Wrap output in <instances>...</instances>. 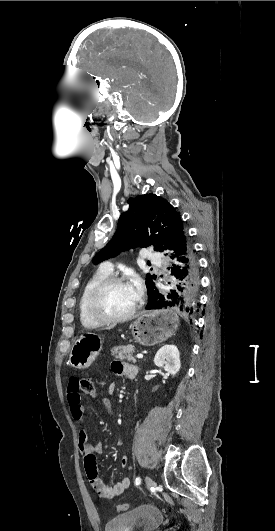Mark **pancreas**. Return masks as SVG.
<instances>
[{"label": "pancreas", "instance_id": "cf45deb5", "mask_svg": "<svg viewBox=\"0 0 275 531\" xmlns=\"http://www.w3.org/2000/svg\"><path fill=\"white\" fill-rule=\"evenodd\" d=\"M132 353H135V347L133 345H120V347H113L111 349V355L115 359H120V361H129V363H136L135 357Z\"/></svg>", "mask_w": 275, "mask_h": 531}]
</instances>
